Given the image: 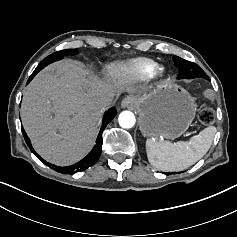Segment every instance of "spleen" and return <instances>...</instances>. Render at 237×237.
Here are the masks:
<instances>
[{
  "label": "spleen",
  "mask_w": 237,
  "mask_h": 237,
  "mask_svg": "<svg viewBox=\"0 0 237 237\" xmlns=\"http://www.w3.org/2000/svg\"><path fill=\"white\" fill-rule=\"evenodd\" d=\"M216 127L209 126L189 141L146 140L149 163L163 171H182L199 161L210 149Z\"/></svg>",
  "instance_id": "obj_1"
}]
</instances>
